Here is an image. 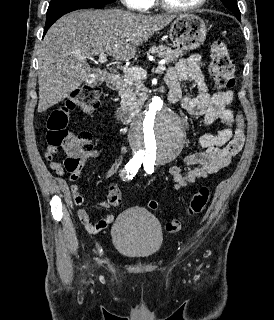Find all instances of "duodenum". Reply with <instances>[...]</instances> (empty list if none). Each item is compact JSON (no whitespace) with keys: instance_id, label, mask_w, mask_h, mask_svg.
I'll list each match as a JSON object with an SVG mask.
<instances>
[{"instance_id":"obj_1","label":"duodenum","mask_w":274,"mask_h":320,"mask_svg":"<svg viewBox=\"0 0 274 320\" xmlns=\"http://www.w3.org/2000/svg\"><path fill=\"white\" fill-rule=\"evenodd\" d=\"M107 84L111 90H117L121 84L120 74L113 73L107 77ZM178 92H170L168 95V101L170 103H177L179 101ZM139 113V109L124 108L119 111L118 118L121 123H130Z\"/></svg>"}]
</instances>
